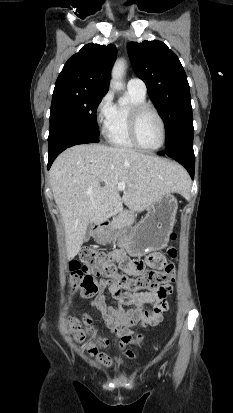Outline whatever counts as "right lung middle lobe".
Returning <instances> with one entry per match:
<instances>
[{"label":"right lung middle lobe","mask_w":233,"mask_h":413,"mask_svg":"<svg viewBox=\"0 0 233 413\" xmlns=\"http://www.w3.org/2000/svg\"><path fill=\"white\" fill-rule=\"evenodd\" d=\"M105 94L71 86L55 88L50 112L49 137L60 131L98 137L96 109Z\"/></svg>","instance_id":"obj_1"}]
</instances>
